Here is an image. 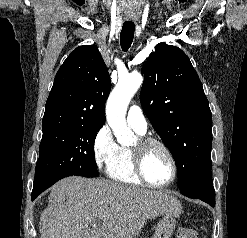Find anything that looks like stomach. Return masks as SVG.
<instances>
[{
	"label": "stomach",
	"instance_id": "stomach-1",
	"mask_svg": "<svg viewBox=\"0 0 247 238\" xmlns=\"http://www.w3.org/2000/svg\"><path fill=\"white\" fill-rule=\"evenodd\" d=\"M176 226L173 216H164L158 223L153 238H171Z\"/></svg>",
	"mask_w": 247,
	"mask_h": 238
}]
</instances>
